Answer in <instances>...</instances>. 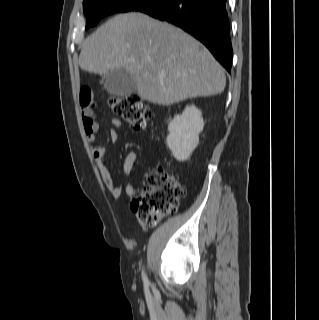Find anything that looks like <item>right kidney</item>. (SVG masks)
Here are the masks:
<instances>
[{"mask_svg": "<svg viewBox=\"0 0 319 320\" xmlns=\"http://www.w3.org/2000/svg\"><path fill=\"white\" fill-rule=\"evenodd\" d=\"M202 112L194 105L187 106L168 125L167 146L178 161L187 160L199 142L203 130Z\"/></svg>", "mask_w": 319, "mask_h": 320, "instance_id": "ca27d5eb", "label": "right kidney"}]
</instances>
